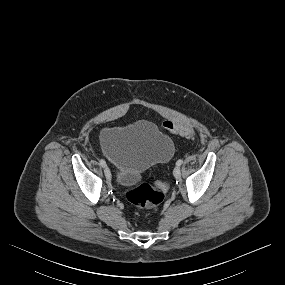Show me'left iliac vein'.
<instances>
[{
    "label": "left iliac vein",
    "instance_id": "4c4485c4",
    "mask_svg": "<svg viewBox=\"0 0 285 285\" xmlns=\"http://www.w3.org/2000/svg\"><path fill=\"white\" fill-rule=\"evenodd\" d=\"M173 175L175 178H179L181 176V170H180V167H175L174 170H173Z\"/></svg>",
    "mask_w": 285,
    "mask_h": 285
}]
</instances>
